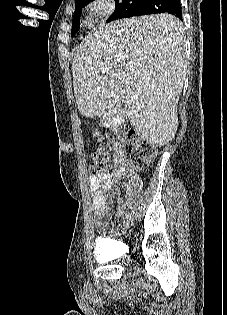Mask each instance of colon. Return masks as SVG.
<instances>
[{"label":"colon","instance_id":"1","mask_svg":"<svg viewBox=\"0 0 227 315\" xmlns=\"http://www.w3.org/2000/svg\"><path fill=\"white\" fill-rule=\"evenodd\" d=\"M93 135L99 138L98 133H94ZM111 138L120 141L125 151L131 154L138 162L151 163L157 156L156 147L132 130L115 129L111 133ZM107 164V157L102 151L98 150L93 154L91 162L92 171H103L107 167Z\"/></svg>","mask_w":227,"mask_h":315}]
</instances>
